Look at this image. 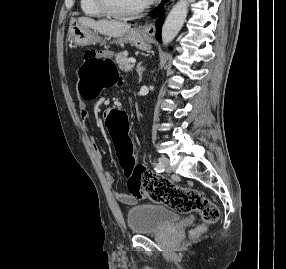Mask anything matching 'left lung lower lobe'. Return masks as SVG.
Masks as SVG:
<instances>
[{
	"instance_id": "0a47b994",
	"label": "left lung lower lobe",
	"mask_w": 286,
	"mask_h": 269,
	"mask_svg": "<svg viewBox=\"0 0 286 269\" xmlns=\"http://www.w3.org/2000/svg\"><path fill=\"white\" fill-rule=\"evenodd\" d=\"M169 0H163L164 3L168 2ZM163 9V5L158 6L152 13L153 17H156L157 15H159V13L162 11ZM162 22H163V16H161L157 22H156V27H157V34H156V39L161 42V26H162Z\"/></svg>"
}]
</instances>
